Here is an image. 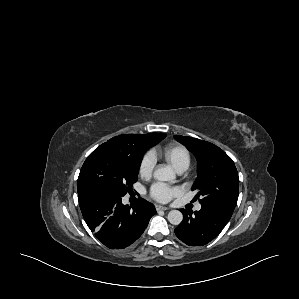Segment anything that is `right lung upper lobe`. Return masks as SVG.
Segmentation results:
<instances>
[{"instance_id": "1", "label": "right lung upper lobe", "mask_w": 299, "mask_h": 299, "mask_svg": "<svg viewBox=\"0 0 299 299\" xmlns=\"http://www.w3.org/2000/svg\"><path fill=\"white\" fill-rule=\"evenodd\" d=\"M157 133H150L144 135L125 134L113 137L107 142L113 144L122 153L129 156H137L141 152L144 141L151 135ZM144 155V154H143Z\"/></svg>"}]
</instances>
